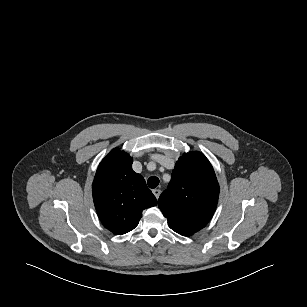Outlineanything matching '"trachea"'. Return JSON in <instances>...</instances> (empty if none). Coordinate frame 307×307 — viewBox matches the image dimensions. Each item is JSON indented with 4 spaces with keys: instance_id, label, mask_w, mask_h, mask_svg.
Returning a JSON list of instances; mask_svg holds the SVG:
<instances>
[{
    "instance_id": "1",
    "label": "trachea",
    "mask_w": 307,
    "mask_h": 307,
    "mask_svg": "<svg viewBox=\"0 0 307 307\" xmlns=\"http://www.w3.org/2000/svg\"><path fill=\"white\" fill-rule=\"evenodd\" d=\"M148 186L152 189L156 188L159 184V178L156 176H152L147 181Z\"/></svg>"
}]
</instances>
